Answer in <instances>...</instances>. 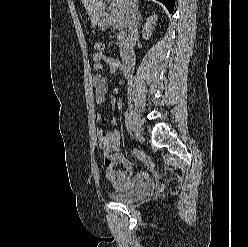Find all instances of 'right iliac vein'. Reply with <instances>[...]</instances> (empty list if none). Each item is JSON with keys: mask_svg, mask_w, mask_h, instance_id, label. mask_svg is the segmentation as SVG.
Returning a JSON list of instances; mask_svg holds the SVG:
<instances>
[{"mask_svg": "<svg viewBox=\"0 0 248 247\" xmlns=\"http://www.w3.org/2000/svg\"><path fill=\"white\" fill-rule=\"evenodd\" d=\"M130 119H131V127L133 135L136 139L141 140L142 134H141V124L139 121V118L137 115L133 112L132 107L130 109Z\"/></svg>", "mask_w": 248, "mask_h": 247, "instance_id": "right-iliac-vein-1", "label": "right iliac vein"}]
</instances>
